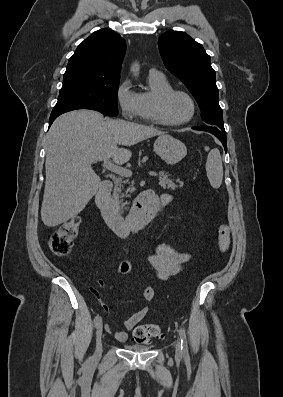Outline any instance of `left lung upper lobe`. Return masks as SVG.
I'll return each mask as SVG.
<instances>
[{
    "label": "left lung upper lobe",
    "mask_w": 283,
    "mask_h": 397,
    "mask_svg": "<svg viewBox=\"0 0 283 397\" xmlns=\"http://www.w3.org/2000/svg\"><path fill=\"white\" fill-rule=\"evenodd\" d=\"M158 46L166 68L185 84L198 102L202 120L224 131L215 71L203 46L186 33L173 30L159 37Z\"/></svg>",
    "instance_id": "left-lung-upper-lobe-1"
}]
</instances>
